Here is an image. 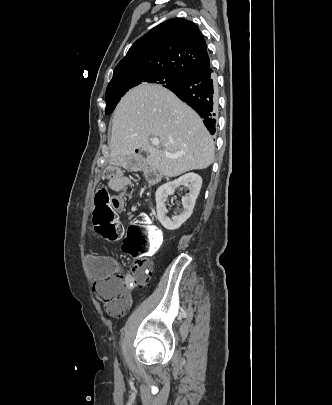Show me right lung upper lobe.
Returning a JSON list of instances; mask_svg holds the SVG:
<instances>
[{
  "instance_id": "right-lung-upper-lobe-1",
  "label": "right lung upper lobe",
  "mask_w": 332,
  "mask_h": 405,
  "mask_svg": "<svg viewBox=\"0 0 332 405\" xmlns=\"http://www.w3.org/2000/svg\"><path fill=\"white\" fill-rule=\"evenodd\" d=\"M210 64L199 28L182 18L169 19L139 38L117 64L113 79L132 72H156L183 77Z\"/></svg>"
}]
</instances>
